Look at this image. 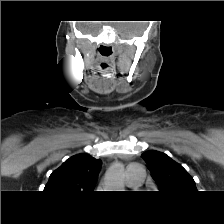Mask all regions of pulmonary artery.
Wrapping results in <instances>:
<instances>
[{
    "instance_id": "e3ab8cb5",
    "label": "pulmonary artery",
    "mask_w": 224,
    "mask_h": 224,
    "mask_svg": "<svg viewBox=\"0 0 224 224\" xmlns=\"http://www.w3.org/2000/svg\"><path fill=\"white\" fill-rule=\"evenodd\" d=\"M126 178H127L128 186L137 187V186L142 185V182L144 180V173H143L142 169H140L136 166H129L127 168Z\"/></svg>"
}]
</instances>
